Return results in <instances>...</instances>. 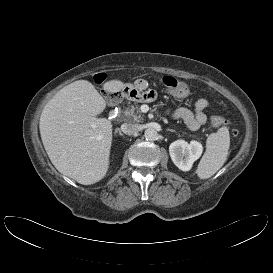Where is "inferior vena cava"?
<instances>
[{
  "label": "inferior vena cava",
  "instance_id": "inferior-vena-cava-1",
  "mask_svg": "<svg viewBox=\"0 0 273 273\" xmlns=\"http://www.w3.org/2000/svg\"><path fill=\"white\" fill-rule=\"evenodd\" d=\"M121 131L126 135H133L139 131L136 124L124 123L121 125Z\"/></svg>",
  "mask_w": 273,
  "mask_h": 273
}]
</instances>
